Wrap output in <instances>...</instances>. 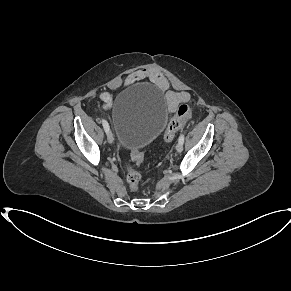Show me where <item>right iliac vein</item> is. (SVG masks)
Masks as SVG:
<instances>
[{
	"mask_svg": "<svg viewBox=\"0 0 291 291\" xmlns=\"http://www.w3.org/2000/svg\"><path fill=\"white\" fill-rule=\"evenodd\" d=\"M107 140L109 143H113V134L110 130L107 131Z\"/></svg>",
	"mask_w": 291,
	"mask_h": 291,
	"instance_id": "63e3f726",
	"label": "right iliac vein"
}]
</instances>
